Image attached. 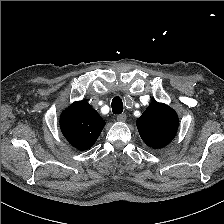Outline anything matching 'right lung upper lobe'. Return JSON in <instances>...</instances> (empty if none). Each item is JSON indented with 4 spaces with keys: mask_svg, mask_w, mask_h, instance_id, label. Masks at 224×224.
I'll return each mask as SVG.
<instances>
[{
    "mask_svg": "<svg viewBox=\"0 0 224 224\" xmlns=\"http://www.w3.org/2000/svg\"><path fill=\"white\" fill-rule=\"evenodd\" d=\"M104 126L102 117L84 100L71 104L60 117L63 135L78 150L91 148Z\"/></svg>",
    "mask_w": 224,
    "mask_h": 224,
    "instance_id": "cb5924a9",
    "label": "right lung upper lobe"
}]
</instances>
